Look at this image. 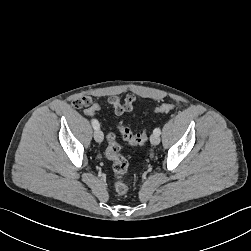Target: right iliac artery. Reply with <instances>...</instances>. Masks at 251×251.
Masks as SVG:
<instances>
[{
  "instance_id": "right-iliac-artery-1",
  "label": "right iliac artery",
  "mask_w": 251,
  "mask_h": 251,
  "mask_svg": "<svg viewBox=\"0 0 251 251\" xmlns=\"http://www.w3.org/2000/svg\"><path fill=\"white\" fill-rule=\"evenodd\" d=\"M92 126L95 130L99 129L100 125L99 122L96 119L91 120Z\"/></svg>"
}]
</instances>
